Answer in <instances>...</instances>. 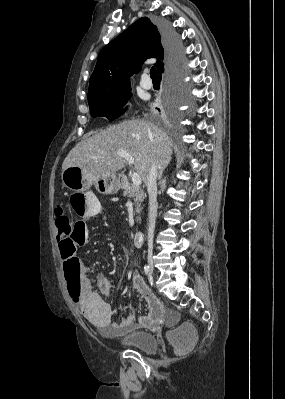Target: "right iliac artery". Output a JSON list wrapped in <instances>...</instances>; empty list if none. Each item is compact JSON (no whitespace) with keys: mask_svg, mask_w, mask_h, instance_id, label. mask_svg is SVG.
<instances>
[{"mask_svg":"<svg viewBox=\"0 0 285 399\" xmlns=\"http://www.w3.org/2000/svg\"><path fill=\"white\" fill-rule=\"evenodd\" d=\"M144 271H145V274H146V275H150V268H149L148 265H145Z\"/></svg>","mask_w":285,"mask_h":399,"instance_id":"right-iliac-artery-1","label":"right iliac artery"}]
</instances>
